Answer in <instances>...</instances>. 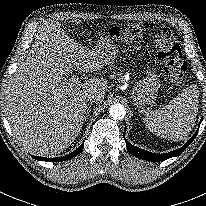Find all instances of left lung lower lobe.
<instances>
[{"instance_id":"obj_1","label":"left lung lower lobe","mask_w":206,"mask_h":206,"mask_svg":"<svg viewBox=\"0 0 206 206\" xmlns=\"http://www.w3.org/2000/svg\"><path fill=\"white\" fill-rule=\"evenodd\" d=\"M202 121V119H201ZM200 121V123H201ZM199 130V129H198ZM198 130L196 131V133L193 135V137L181 148L165 153V154H156V153H151L148 151H145L143 149H140L134 145H132L131 143H129L126 139H125V131H126V127L124 130V134L123 137L126 141V147L129 150V152L131 154H133L135 157L139 158V159H143V160H148V161H162V160H166L169 159L171 157H175L178 156L179 154H181L190 144L191 142L194 140V138L196 137Z\"/></svg>"}]
</instances>
